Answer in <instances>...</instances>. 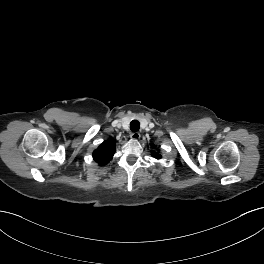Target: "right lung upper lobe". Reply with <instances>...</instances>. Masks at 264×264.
I'll use <instances>...</instances> for the list:
<instances>
[{
    "label": "right lung upper lobe",
    "mask_w": 264,
    "mask_h": 264,
    "mask_svg": "<svg viewBox=\"0 0 264 264\" xmlns=\"http://www.w3.org/2000/svg\"><path fill=\"white\" fill-rule=\"evenodd\" d=\"M116 150L113 140L104 141L94 152L93 158L100 165H106L113 157Z\"/></svg>",
    "instance_id": "1"
}]
</instances>
